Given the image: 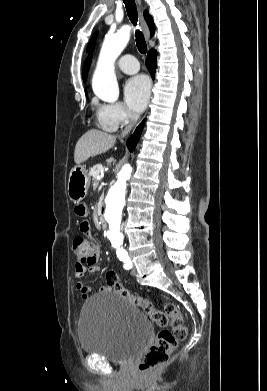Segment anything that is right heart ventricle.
I'll return each instance as SVG.
<instances>
[{
    "label": "right heart ventricle",
    "instance_id": "right-heart-ventricle-1",
    "mask_svg": "<svg viewBox=\"0 0 267 391\" xmlns=\"http://www.w3.org/2000/svg\"><path fill=\"white\" fill-rule=\"evenodd\" d=\"M101 126H102L104 129H106V130H113V128H111V127H109V126H107V125H105V124H102V123H101Z\"/></svg>",
    "mask_w": 267,
    "mask_h": 391
}]
</instances>
